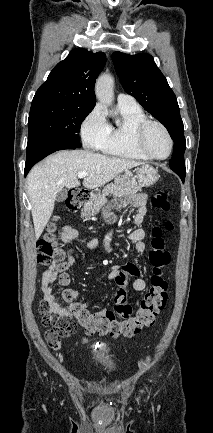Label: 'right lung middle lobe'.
I'll return each instance as SVG.
<instances>
[{
    "instance_id": "dd1d6c3e",
    "label": "right lung middle lobe",
    "mask_w": 213,
    "mask_h": 433,
    "mask_svg": "<svg viewBox=\"0 0 213 433\" xmlns=\"http://www.w3.org/2000/svg\"><path fill=\"white\" fill-rule=\"evenodd\" d=\"M92 107L52 100H33L28 119V140L47 136L80 148L78 132Z\"/></svg>"
}]
</instances>
